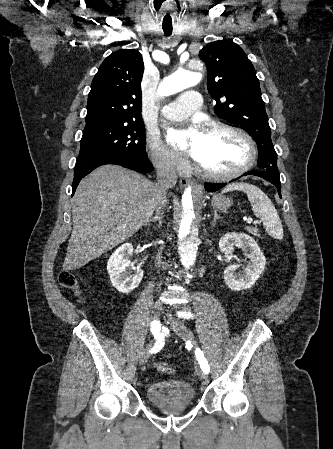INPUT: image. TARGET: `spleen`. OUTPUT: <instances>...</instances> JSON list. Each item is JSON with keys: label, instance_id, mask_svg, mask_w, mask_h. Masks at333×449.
Listing matches in <instances>:
<instances>
[{"label": "spleen", "instance_id": "3e777b00", "mask_svg": "<svg viewBox=\"0 0 333 449\" xmlns=\"http://www.w3.org/2000/svg\"><path fill=\"white\" fill-rule=\"evenodd\" d=\"M234 190L247 194L254 214L263 221L265 231L273 238L282 239V222L270 198L257 186L248 183L230 184L222 190V193Z\"/></svg>", "mask_w": 333, "mask_h": 449}]
</instances>
